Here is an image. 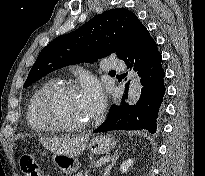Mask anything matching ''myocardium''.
<instances>
[{
	"instance_id": "1",
	"label": "myocardium",
	"mask_w": 205,
	"mask_h": 176,
	"mask_svg": "<svg viewBox=\"0 0 205 176\" xmlns=\"http://www.w3.org/2000/svg\"><path fill=\"white\" fill-rule=\"evenodd\" d=\"M62 93H76V87L70 83H55L48 89H46L37 99L34 107V115L36 120L51 129L65 131V132H77L91 124V119L89 118L85 122L78 125L64 124L57 119L46 115L45 105L55 96Z\"/></svg>"
}]
</instances>
